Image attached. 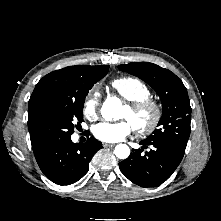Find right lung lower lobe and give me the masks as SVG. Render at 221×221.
I'll list each match as a JSON object with an SVG mask.
<instances>
[{"label":"right lung lower lobe","instance_id":"obj_1","mask_svg":"<svg viewBox=\"0 0 221 221\" xmlns=\"http://www.w3.org/2000/svg\"><path fill=\"white\" fill-rule=\"evenodd\" d=\"M102 147L94 137L85 143H73L71 136L55 140L34 152L44 175L58 185L80 180L89 170V162Z\"/></svg>","mask_w":221,"mask_h":221}]
</instances>
